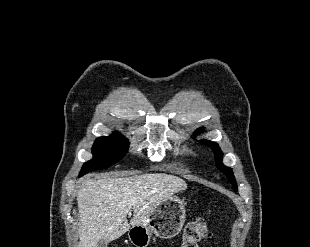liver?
Here are the masks:
<instances>
[{
  "label": "liver",
  "mask_w": 310,
  "mask_h": 247,
  "mask_svg": "<svg viewBox=\"0 0 310 247\" xmlns=\"http://www.w3.org/2000/svg\"><path fill=\"white\" fill-rule=\"evenodd\" d=\"M186 188L183 179L166 173L87 178L77 193L79 247H97L101 240H116L130 226L146 222L158 204Z\"/></svg>",
  "instance_id": "obj_1"
}]
</instances>
